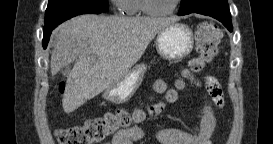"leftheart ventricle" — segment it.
<instances>
[{
  "mask_svg": "<svg viewBox=\"0 0 273 144\" xmlns=\"http://www.w3.org/2000/svg\"><path fill=\"white\" fill-rule=\"evenodd\" d=\"M174 0H150L149 5L155 10H168L173 5Z\"/></svg>",
  "mask_w": 273,
  "mask_h": 144,
  "instance_id": "left-heart-ventricle-1",
  "label": "left heart ventricle"
}]
</instances>
